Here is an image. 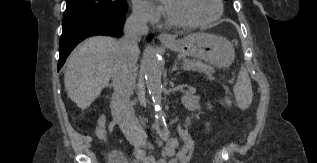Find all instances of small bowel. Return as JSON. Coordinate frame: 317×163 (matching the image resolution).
Masks as SVG:
<instances>
[{
  "label": "small bowel",
  "instance_id": "small-bowel-1",
  "mask_svg": "<svg viewBox=\"0 0 317 163\" xmlns=\"http://www.w3.org/2000/svg\"><path fill=\"white\" fill-rule=\"evenodd\" d=\"M180 138L183 142V146L178 149V143L175 139H170L163 151L162 158L156 159L153 156L146 155L144 151L137 149L135 151V159L129 163H167V158L173 156L177 152V156L173 158L169 163H188L194 153L195 146L190 134L181 130ZM109 163H128L125 156L118 152H113L109 155Z\"/></svg>",
  "mask_w": 317,
  "mask_h": 163
}]
</instances>
